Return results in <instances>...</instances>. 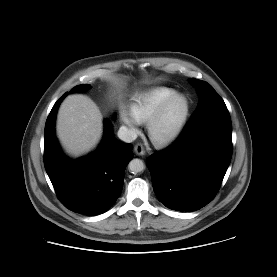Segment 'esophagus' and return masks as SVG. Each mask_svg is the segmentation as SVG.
I'll use <instances>...</instances> for the list:
<instances>
[{
	"mask_svg": "<svg viewBox=\"0 0 277 277\" xmlns=\"http://www.w3.org/2000/svg\"><path fill=\"white\" fill-rule=\"evenodd\" d=\"M134 151L136 155H139V156H144L146 154L145 148L142 144L135 145Z\"/></svg>",
	"mask_w": 277,
	"mask_h": 277,
	"instance_id": "esophagus-1",
	"label": "esophagus"
}]
</instances>
